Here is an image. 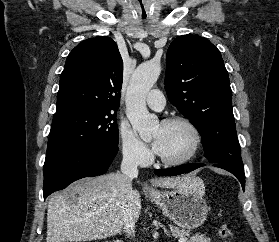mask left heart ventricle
Listing matches in <instances>:
<instances>
[{"instance_id":"1","label":"left heart ventricle","mask_w":279,"mask_h":242,"mask_svg":"<svg viewBox=\"0 0 279 242\" xmlns=\"http://www.w3.org/2000/svg\"><path fill=\"white\" fill-rule=\"evenodd\" d=\"M152 138L160 143L159 154L168 159H178L188 153L192 146V134L183 124H159Z\"/></svg>"}]
</instances>
